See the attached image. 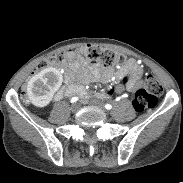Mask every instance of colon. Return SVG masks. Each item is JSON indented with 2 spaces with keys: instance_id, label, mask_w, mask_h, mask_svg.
Returning <instances> with one entry per match:
<instances>
[{
  "instance_id": "1",
  "label": "colon",
  "mask_w": 183,
  "mask_h": 183,
  "mask_svg": "<svg viewBox=\"0 0 183 183\" xmlns=\"http://www.w3.org/2000/svg\"><path fill=\"white\" fill-rule=\"evenodd\" d=\"M80 54L92 64H102L104 66H112L122 64L126 57L124 54L117 53L110 49L100 47L98 45H85L80 48ZM76 59V51L68 50L55 53L47 58L42 59L36 66L37 71L45 70L56 65L73 63ZM129 77L123 79V83H118L108 87L107 94L110 97H116L126 91V84ZM162 93V86L153 76H147L144 79L143 87L139 88L133 99V107L136 111L141 112L156 106L158 97Z\"/></svg>"
}]
</instances>
